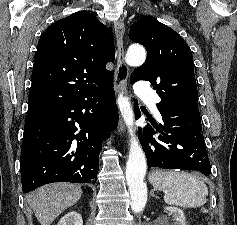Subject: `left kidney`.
Masks as SVG:
<instances>
[{
  "mask_svg": "<svg viewBox=\"0 0 237 225\" xmlns=\"http://www.w3.org/2000/svg\"><path fill=\"white\" fill-rule=\"evenodd\" d=\"M166 210L173 216V224L172 225H186L185 216L181 209L177 207L169 206Z\"/></svg>",
  "mask_w": 237,
  "mask_h": 225,
  "instance_id": "5707ae66",
  "label": "left kidney"
}]
</instances>
